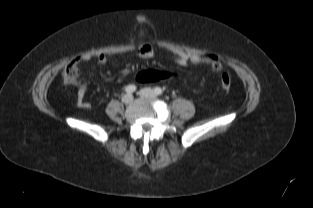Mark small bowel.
Returning <instances> with one entry per match:
<instances>
[{
	"label": "small bowel",
	"instance_id": "obj_1",
	"mask_svg": "<svg viewBox=\"0 0 313 208\" xmlns=\"http://www.w3.org/2000/svg\"><path fill=\"white\" fill-rule=\"evenodd\" d=\"M137 56L142 59H150L155 56V49L151 45H144L140 47L137 51ZM110 55L108 54H101L97 62L101 65L106 64L109 61ZM173 58L176 63H178L181 66H187L189 64H202V63H207V60L205 59L204 56L197 55V54H188L186 52H175L173 54ZM91 60V56L88 54L80 56L78 59H76L73 64H78V63H84V62H89ZM87 95V88L85 86H81L78 89L77 92V104L81 108H89L91 104L86 98Z\"/></svg>",
	"mask_w": 313,
	"mask_h": 208
}]
</instances>
